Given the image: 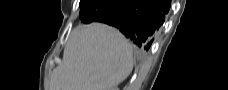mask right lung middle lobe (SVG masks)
<instances>
[{"instance_id": "1", "label": "right lung middle lobe", "mask_w": 228, "mask_h": 90, "mask_svg": "<svg viewBox=\"0 0 228 90\" xmlns=\"http://www.w3.org/2000/svg\"><path fill=\"white\" fill-rule=\"evenodd\" d=\"M96 2H97V0H80V8H81L80 16L83 11V8H85L86 6H89L93 3H96Z\"/></svg>"}]
</instances>
